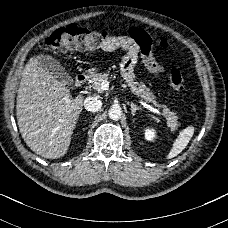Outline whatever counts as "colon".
<instances>
[{
  "label": "colon",
  "mask_w": 228,
  "mask_h": 228,
  "mask_svg": "<svg viewBox=\"0 0 228 228\" xmlns=\"http://www.w3.org/2000/svg\"><path fill=\"white\" fill-rule=\"evenodd\" d=\"M119 34L110 35L79 26H66L55 30L48 38L40 42L37 49L43 54L54 50H96L102 45H114ZM184 72L181 68H174L170 72V87L176 94L185 90Z\"/></svg>",
  "instance_id": "1"
}]
</instances>
